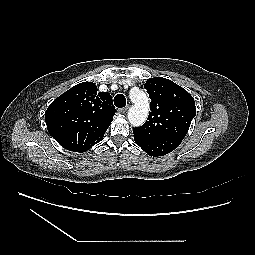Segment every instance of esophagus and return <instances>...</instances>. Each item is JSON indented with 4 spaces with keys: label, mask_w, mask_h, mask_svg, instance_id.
Returning a JSON list of instances; mask_svg holds the SVG:
<instances>
[{
    "label": "esophagus",
    "mask_w": 255,
    "mask_h": 255,
    "mask_svg": "<svg viewBox=\"0 0 255 255\" xmlns=\"http://www.w3.org/2000/svg\"><path fill=\"white\" fill-rule=\"evenodd\" d=\"M129 106H125L123 108L118 109V112L121 114H125L128 110Z\"/></svg>",
    "instance_id": "1"
}]
</instances>
